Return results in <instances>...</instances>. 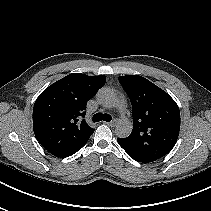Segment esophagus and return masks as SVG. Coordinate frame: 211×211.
Listing matches in <instances>:
<instances>
[{
	"mask_svg": "<svg viewBox=\"0 0 211 211\" xmlns=\"http://www.w3.org/2000/svg\"><path fill=\"white\" fill-rule=\"evenodd\" d=\"M110 127H115L116 126V120L110 121V122H105Z\"/></svg>",
	"mask_w": 211,
	"mask_h": 211,
	"instance_id": "obj_1",
	"label": "esophagus"
}]
</instances>
